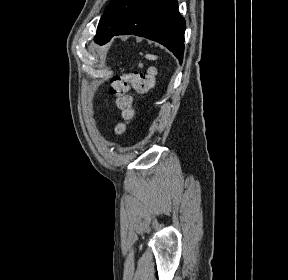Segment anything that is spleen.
Segmentation results:
<instances>
[{"mask_svg": "<svg viewBox=\"0 0 288 280\" xmlns=\"http://www.w3.org/2000/svg\"><path fill=\"white\" fill-rule=\"evenodd\" d=\"M145 57H146L147 59H149V60H156V59H157V56H155V55H150V54H147Z\"/></svg>", "mask_w": 288, "mask_h": 280, "instance_id": "3e777b00", "label": "spleen"}]
</instances>
